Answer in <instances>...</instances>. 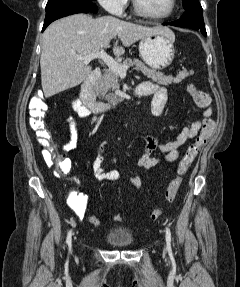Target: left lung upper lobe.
Segmentation results:
<instances>
[{
	"label": "left lung upper lobe",
	"instance_id": "left-lung-upper-lobe-1",
	"mask_svg": "<svg viewBox=\"0 0 240 287\" xmlns=\"http://www.w3.org/2000/svg\"><path fill=\"white\" fill-rule=\"evenodd\" d=\"M183 2V7H187L191 4L199 3V0H182Z\"/></svg>",
	"mask_w": 240,
	"mask_h": 287
}]
</instances>
